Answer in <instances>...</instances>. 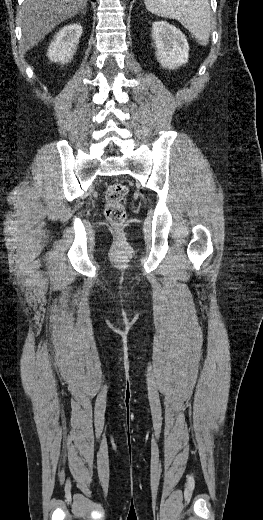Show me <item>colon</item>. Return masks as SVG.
I'll use <instances>...</instances> for the list:
<instances>
[{
    "label": "colon",
    "mask_w": 263,
    "mask_h": 520,
    "mask_svg": "<svg viewBox=\"0 0 263 520\" xmlns=\"http://www.w3.org/2000/svg\"><path fill=\"white\" fill-rule=\"evenodd\" d=\"M127 187L120 182L111 183L105 191L104 213L107 220L115 227H121L126 221V209L123 201Z\"/></svg>",
    "instance_id": "5ec220e1"
}]
</instances>
